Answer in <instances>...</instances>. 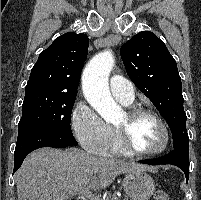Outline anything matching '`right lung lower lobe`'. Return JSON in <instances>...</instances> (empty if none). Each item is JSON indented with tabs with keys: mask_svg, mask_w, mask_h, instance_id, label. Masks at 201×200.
I'll list each match as a JSON object with an SVG mask.
<instances>
[{
	"mask_svg": "<svg viewBox=\"0 0 201 200\" xmlns=\"http://www.w3.org/2000/svg\"><path fill=\"white\" fill-rule=\"evenodd\" d=\"M70 145H78L73 135L52 127L35 125L18 129L13 173L19 169L25 157L35 149L46 146L63 148Z\"/></svg>",
	"mask_w": 201,
	"mask_h": 200,
	"instance_id": "right-lung-lower-lobe-1",
	"label": "right lung lower lobe"
}]
</instances>
